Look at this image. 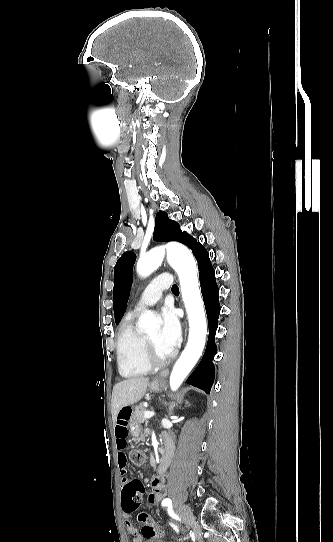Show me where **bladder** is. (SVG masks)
Wrapping results in <instances>:
<instances>
[{
    "label": "bladder",
    "mask_w": 333,
    "mask_h": 542,
    "mask_svg": "<svg viewBox=\"0 0 333 542\" xmlns=\"http://www.w3.org/2000/svg\"><path fill=\"white\" fill-rule=\"evenodd\" d=\"M144 542H167V541H165V540H149V539H147Z\"/></svg>",
    "instance_id": "31cf9c89"
}]
</instances>
